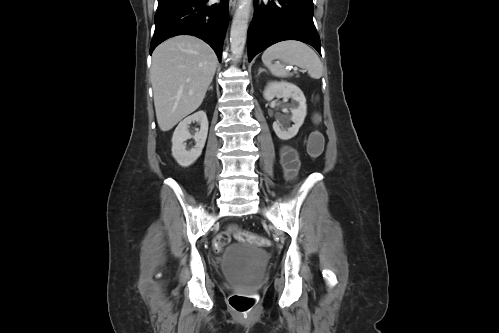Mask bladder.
Masks as SVG:
<instances>
[{"instance_id":"obj_1","label":"bladder","mask_w":499,"mask_h":333,"mask_svg":"<svg viewBox=\"0 0 499 333\" xmlns=\"http://www.w3.org/2000/svg\"><path fill=\"white\" fill-rule=\"evenodd\" d=\"M267 261V252L259 247L235 243L227 247L223 260L225 275L236 284L249 288L260 278Z\"/></svg>"}]
</instances>
